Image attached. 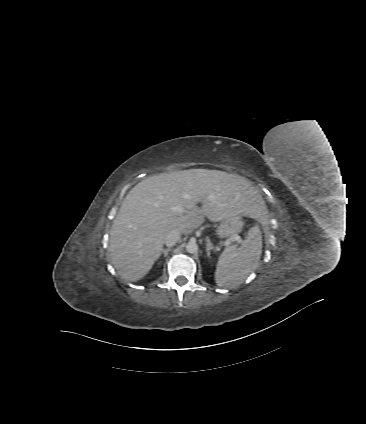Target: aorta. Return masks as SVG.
Returning <instances> with one entry per match:
<instances>
[{"instance_id":"obj_1","label":"aorta","mask_w":366,"mask_h":424,"mask_svg":"<svg viewBox=\"0 0 366 424\" xmlns=\"http://www.w3.org/2000/svg\"><path fill=\"white\" fill-rule=\"evenodd\" d=\"M186 251L192 254L196 253L198 251L197 243L194 241L188 242L186 245Z\"/></svg>"}]
</instances>
